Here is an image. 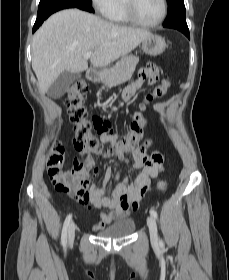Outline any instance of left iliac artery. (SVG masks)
Segmentation results:
<instances>
[{
    "label": "left iliac artery",
    "instance_id": "left-iliac-artery-1",
    "mask_svg": "<svg viewBox=\"0 0 229 280\" xmlns=\"http://www.w3.org/2000/svg\"><path fill=\"white\" fill-rule=\"evenodd\" d=\"M150 214H151L155 219H157V216H158V215H157V212H156V210H155L154 208H151ZM159 243H160V245H162V244H163L162 240H160Z\"/></svg>",
    "mask_w": 229,
    "mask_h": 280
}]
</instances>
